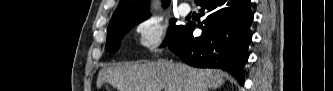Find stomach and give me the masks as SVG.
<instances>
[{
  "label": "stomach",
  "instance_id": "0dacf381",
  "mask_svg": "<svg viewBox=\"0 0 333 91\" xmlns=\"http://www.w3.org/2000/svg\"><path fill=\"white\" fill-rule=\"evenodd\" d=\"M104 89H105V91H111V90H110V87H109L108 85H105V86H104Z\"/></svg>",
  "mask_w": 333,
  "mask_h": 91
}]
</instances>
